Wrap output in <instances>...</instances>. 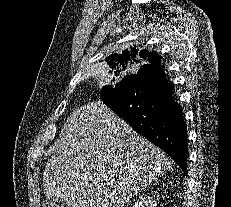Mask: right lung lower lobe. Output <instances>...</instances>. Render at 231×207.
<instances>
[{"label":"right lung lower lobe","instance_id":"1","mask_svg":"<svg viewBox=\"0 0 231 207\" xmlns=\"http://www.w3.org/2000/svg\"><path fill=\"white\" fill-rule=\"evenodd\" d=\"M172 94L173 87L156 64L142 66L136 74L100 93V97L137 133L165 151L187 175V125Z\"/></svg>","mask_w":231,"mask_h":207}]
</instances>
